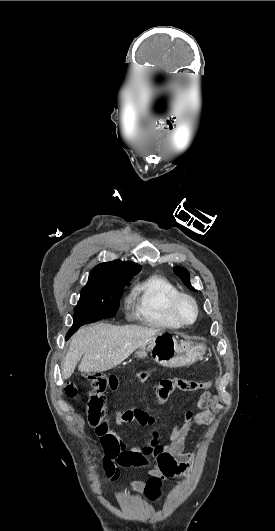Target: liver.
I'll return each instance as SVG.
<instances>
[{"label": "liver", "mask_w": 275, "mask_h": 531, "mask_svg": "<svg viewBox=\"0 0 275 531\" xmlns=\"http://www.w3.org/2000/svg\"><path fill=\"white\" fill-rule=\"evenodd\" d=\"M160 329L139 325H106L97 323L81 327L72 337L62 365V379H70L77 363L80 373H101L128 359L144 341L159 335Z\"/></svg>", "instance_id": "liver-1"}]
</instances>
